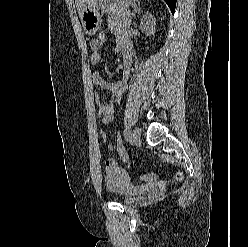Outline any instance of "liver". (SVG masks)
Here are the masks:
<instances>
[{
    "mask_svg": "<svg viewBox=\"0 0 248 247\" xmlns=\"http://www.w3.org/2000/svg\"><path fill=\"white\" fill-rule=\"evenodd\" d=\"M90 0H75V3H76V7H77V10H78V13H79V16L81 14V11L83 9V7L89 3Z\"/></svg>",
    "mask_w": 248,
    "mask_h": 247,
    "instance_id": "obj_1",
    "label": "liver"
}]
</instances>
